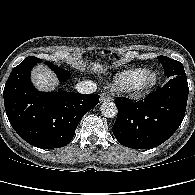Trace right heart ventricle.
<instances>
[{
    "label": "right heart ventricle",
    "instance_id": "obj_1",
    "mask_svg": "<svg viewBox=\"0 0 195 195\" xmlns=\"http://www.w3.org/2000/svg\"><path fill=\"white\" fill-rule=\"evenodd\" d=\"M146 71L142 68H132L119 72L114 78V85L119 90L129 91L136 80Z\"/></svg>",
    "mask_w": 195,
    "mask_h": 195
}]
</instances>
